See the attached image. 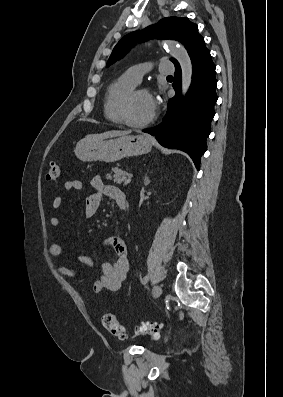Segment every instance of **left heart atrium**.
Masks as SVG:
<instances>
[{
	"label": "left heart atrium",
	"mask_w": 283,
	"mask_h": 397,
	"mask_svg": "<svg viewBox=\"0 0 283 397\" xmlns=\"http://www.w3.org/2000/svg\"><path fill=\"white\" fill-rule=\"evenodd\" d=\"M157 105H158L157 100H155L154 98L151 97V108H152L153 113L156 111Z\"/></svg>",
	"instance_id": "left-heart-atrium-1"
}]
</instances>
